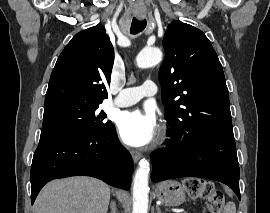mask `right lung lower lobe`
Returning a JSON list of instances; mask_svg holds the SVG:
<instances>
[{
    "instance_id": "right-lung-lower-lobe-1",
    "label": "right lung lower lobe",
    "mask_w": 270,
    "mask_h": 213,
    "mask_svg": "<svg viewBox=\"0 0 270 213\" xmlns=\"http://www.w3.org/2000/svg\"><path fill=\"white\" fill-rule=\"evenodd\" d=\"M132 168L113 124L98 135L41 133L31 167V202L47 182L70 176H91L128 190Z\"/></svg>"
}]
</instances>
